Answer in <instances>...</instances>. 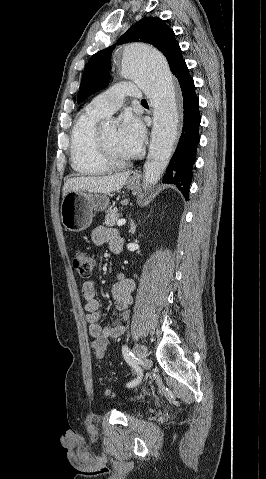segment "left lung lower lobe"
Returning <instances> with one entry per match:
<instances>
[{
    "mask_svg": "<svg viewBox=\"0 0 266 479\" xmlns=\"http://www.w3.org/2000/svg\"><path fill=\"white\" fill-rule=\"evenodd\" d=\"M174 75L178 79L184 101V124L175 153L166 169L163 182L176 185L186 200H189V187L192 168L196 160V147L199 143L200 124L199 100L194 91V82L183 62Z\"/></svg>",
    "mask_w": 266,
    "mask_h": 479,
    "instance_id": "obj_1",
    "label": "left lung lower lobe"
}]
</instances>
